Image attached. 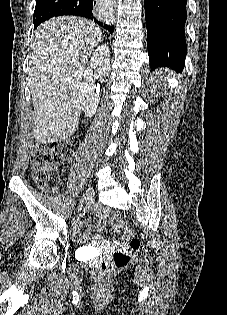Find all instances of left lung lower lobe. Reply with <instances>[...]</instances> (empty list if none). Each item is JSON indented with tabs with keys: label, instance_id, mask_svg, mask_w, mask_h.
Here are the masks:
<instances>
[{
	"label": "left lung lower lobe",
	"instance_id": "1",
	"mask_svg": "<svg viewBox=\"0 0 227 315\" xmlns=\"http://www.w3.org/2000/svg\"><path fill=\"white\" fill-rule=\"evenodd\" d=\"M187 0H145L150 66L182 71L187 53L184 25Z\"/></svg>",
	"mask_w": 227,
	"mask_h": 315
}]
</instances>
